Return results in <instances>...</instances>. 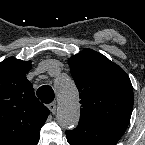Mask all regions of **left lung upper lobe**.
Segmentation results:
<instances>
[{"label": "left lung upper lobe", "mask_w": 145, "mask_h": 145, "mask_svg": "<svg viewBox=\"0 0 145 145\" xmlns=\"http://www.w3.org/2000/svg\"><path fill=\"white\" fill-rule=\"evenodd\" d=\"M68 63L81 99L79 122L128 124L133 88L124 70L91 49L71 57Z\"/></svg>", "instance_id": "5c2ea615"}]
</instances>
